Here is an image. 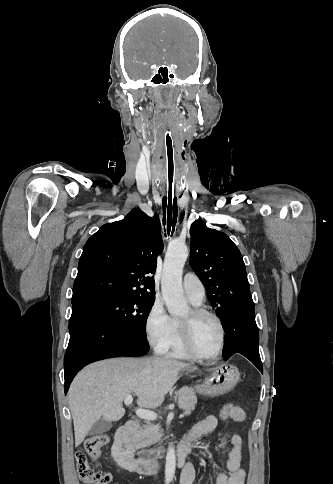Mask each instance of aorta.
Here are the masks:
<instances>
[{"label":"aorta","instance_id":"762f6f07","mask_svg":"<svg viewBox=\"0 0 333 484\" xmlns=\"http://www.w3.org/2000/svg\"><path fill=\"white\" fill-rule=\"evenodd\" d=\"M188 257L185 243H174L168 247L161 278V291L170 315L186 312L188 305L182 287L183 267ZM176 471V455L172 446L168 447L165 461V484L173 481Z\"/></svg>","mask_w":333,"mask_h":484}]
</instances>
